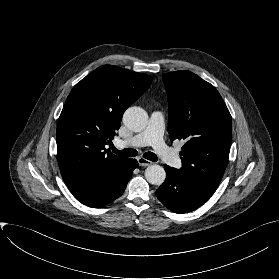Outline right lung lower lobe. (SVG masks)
Returning a JSON list of instances; mask_svg holds the SVG:
<instances>
[{
	"mask_svg": "<svg viewBox=\"0 0 279 279\" xmlns=\"http://www.w3.org/2000/svg\"><path fill=\"white\" fill-rule=\"evenodd\" d=\"M138 167L136 159H129L124 169L113 177L108 183L98 189L96 192L83 197L77 198L81 203L94 208L102 207L122 195L128 181L130 180L133 170Z\"/></svg>",
	"mask_w": 279,
	"mask_h": 279,
	"instance_id": "right-lung-lower-lobe-1",
	"label": "right lung lower lobe"
}]
</instances>
